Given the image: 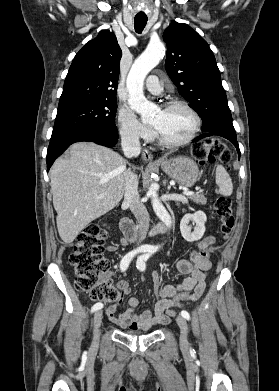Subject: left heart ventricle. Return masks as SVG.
Wrapping results in <instances>:
<instances>
[{
	"instance_id": "left-heart-ventricle-1",
	"label": "left heart ventricle",
	"mask_w": 279,
	"mask_h": 391,
	"mask_svg": "<svg viewBox=\"0 0 279 391\" xmlns=\"http://www.w3.org/2000/svg\"><path fill=\"white\" fill-rule=\"evenodd\" d=\"M161 134L170 141L186 138L194 126L192 115L182 107L158 110L151 120Z\"/></svg>"
}]
</instances>
